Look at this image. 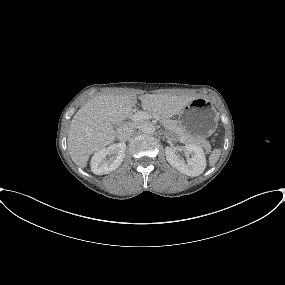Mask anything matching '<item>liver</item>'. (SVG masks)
<instances>
[{
	"label": "liver",
	"instance_id": "obj_1",
	"mask_svg": "<svg viewBox=\"0 0 285 285\" xmlns=\"http://www.w3.org/2000/svg\"><path fill=\"white\" fill-rule=\"evenodd\" d=\"M196 97L171 94H144L139 97L143 110L163 118L178 114ZM137 96L107 94L95 96L74 115L67 137L68 151L72 161L79 167L87 165L89 157L116 137L113 124H119L131 116Z\"/></svg>",
	"mask_w": 285,
	"mask_h": 285
}]
</instances>
